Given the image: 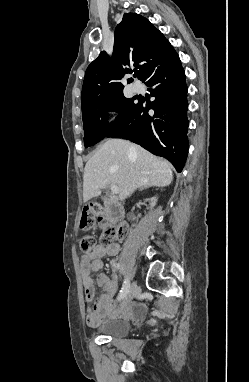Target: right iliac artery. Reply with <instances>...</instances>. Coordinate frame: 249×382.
<instances>
[{
    "label": "right iliac artery",
    "mask_w": 249,
    "mask_h": 382,
    "mask_svg": "<svg viewBox=\"0 0 249 382\" xmlns=\"http://www.w3.org/2000/svg\"><path fill=\"white\" fill-rule=\"evenodd\" d=\"M111 264L117 268H119V264H115L114 262H111ZM129 287H130V282H129V279L128 278H125L124 282H123V286L120 290V293H119V297H118V300L122 299L125 297V295L127 294L128 290H129Z\"/></svg>",
    "instance_id": "right-iliac-artery-1"
}]
</instances>
